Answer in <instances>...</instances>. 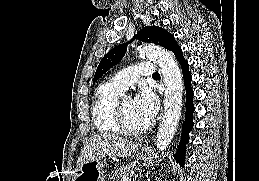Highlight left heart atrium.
Masks as SVG:
<instances>
[{"mask_svg": "<svg viewBox=\"0 0 259 181\" xmlns=\"http://www.w3.org/2000/svg\"><path fill=\"white\" fill-rule=\"evenodd\" d=\"M135 106L140 116L147 122L153 120L159 111V100L155 93L143 88L135 97Z\"/></svg>", "mask_w": 259, "mask_h": 181, "instance_id": "left-heart-atrium-1", "label": "left heart atrium"}]
</instances>
